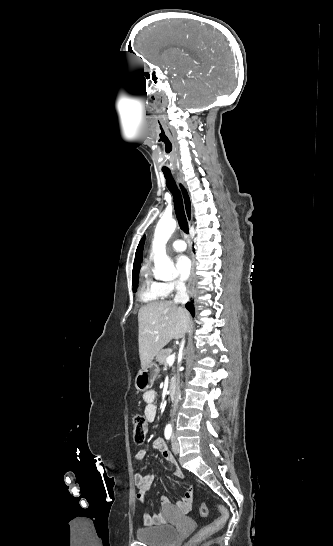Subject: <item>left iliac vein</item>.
<instances>
[{"mask_svg":"<svg viewBox=\"0 0 333 546\" xmlns=\"http://www.w3.org/2000/svg\"><path fill=\"white\" fill-rule=\"evenodd\" d=\"M172 450L175 454H178L179 453V444H178V441L176 440L175 436L173 435L172 436Z\"/></svg>","mask_w":333,"mask_h":546,"instance_id":"4c4485c4","label":"left iliac vein"}]
</instances>
